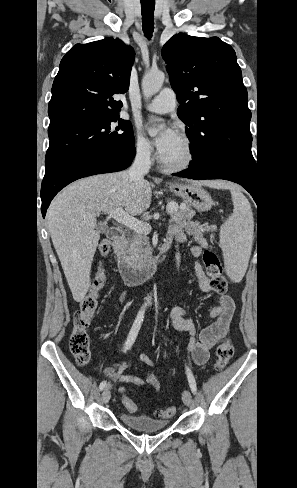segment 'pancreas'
<instances>
[{"label": "pancreas", "mask_w": 297, "mask_h": 488, "mask_svg": "<svg viewBox=\"0 0 297 488\" xmlns=\"http://www.w3.org/2000/svg\"><path fill=\"white\" fill-rule=\"evenodd\" d=\"M176 210L170 212L171 222L184 226L186 228L192 225H199V223L191 222V218L195 215V211L190 206H179L177 203ZM206 229L200 230L198 233L204 232ZM200 235H195V239L200 240ZM123 258L132 266H140L146 262L151 256V248L149 245V238L144 234H134L131 238L126 239L122 246Z\"/></svg>", "instance_id": "pancreas-1"}]
</instances>
